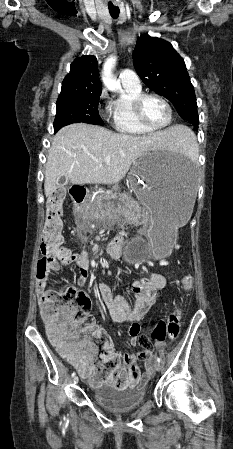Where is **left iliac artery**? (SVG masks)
<instances>
[{
    "instance_id": "44dca946",
    "label": "left iliac artery",
    "mask_w": 233,
    "mask_h": 449,
    "mask_svg": "<svg viewBox=\"0 0 233 449\" xmlns=\"http://www.w3.org/2000/svg\"><path fill=\"white\" fill-rule=\"evenodd\" d=\"M156 360H157V362H161V359H160V357H158V356H156Z\"/></svg>"
}]
</instances>
